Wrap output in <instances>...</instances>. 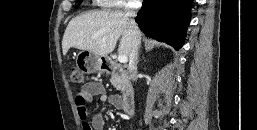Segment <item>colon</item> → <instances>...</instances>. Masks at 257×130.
Here are the masks:
<instances>
[{"label": "colon", "mask_w": 257, "mask_h": 130, "mask_svg": "<svg viewBox=\"0 0 257 130\" xmlns=\"http://www.w3.org/2000/svg\"><path fill=\"white\" fill-rule=\"evenodd\" d=\"M71 80L75 84H82L85 81V76L82 70L74 68L71 72Z\"/></svg>", "instance_id": "5ec220e1"}]
</instances>
